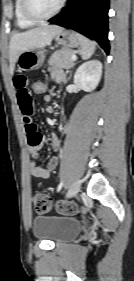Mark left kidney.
Listing matches in <instances>:
<instances>
[{
	"label": "left kidney",
	"instance_id": "5707ae66",
	"mask_svg": "<svg viewBox=\"0 0 134 281\" xmlns=\"http://www.w3.org/2000/svg\"><path fill=\"white\" fill-rule=\"evenodd\" d=\"M102 63L91 60L78 67L74 74V83L82 90L90 92L94 90L101 79Z\"/></svg>",
	"mask_w": 134,
	"mask_h": 281
}]
</instances>
